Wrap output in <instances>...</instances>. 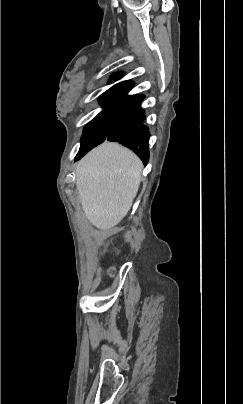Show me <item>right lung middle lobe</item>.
Returning <instances> with one entry per match:
<instances>
[{
	"instance_id": "right-lung-middle-lobe-1",
	"label": "right lung middle lobe",
	"mask_w": 243,
	"mask_h": 404,
	"mask_svg": "<svg viewBox=\"0 0 243 404\" xmlns=\"http://www.w3.org/2000/svg\"><path fill=\"white\" fill-rule=\"evenodd\" d=\"M126 104H104V109L89 122L81 138V146L75 161L81 159L88 151L105 141L115 121L127 108Z\"/></svg>"
}]
</instances>
